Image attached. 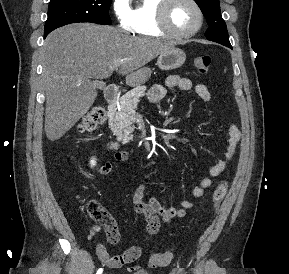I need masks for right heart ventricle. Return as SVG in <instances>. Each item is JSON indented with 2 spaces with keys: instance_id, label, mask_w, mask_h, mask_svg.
I'll list each match as a JSON object with an SVG mask.
<instances>
[{
  "instance_id": "obj_1",
  "label": "right heart ventricle",
  "mask_w": 289,
  "mask_h": 274,
  "mask_svg": "<svg viewBox=\"0 0 289 274\" xmlns=\"http://www.w3.org/2000/svg\"><path fill=\"white\" fill-rule=\"evenodd\" d=\"M161 0H139L132 9V32L140 36H166L158 26L157 10Z\"/></svg>"
}]
</instances>
